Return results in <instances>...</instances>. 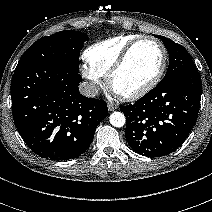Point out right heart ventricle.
Returning a JSON list of instances; mask_svg holds the SVG:
<instances>
[{
	"mask_svg": "<svg viewBox=\"0 0 212 212\" xmlns=\"http://www.w3.org/2000/svg\"><path fill=\"white\" fill-rule=\"evenodd\" d=\"M139 37L135 34H125L97 42L84 51V58L89 66L106 75L123 50Z\"/></svg>",
	"mask_w": 212,
	"mask_h": 212,
	"instance_id": "right-heart-ventricle-1",
	"label": "right heart ventricle"
}]
</instances>
